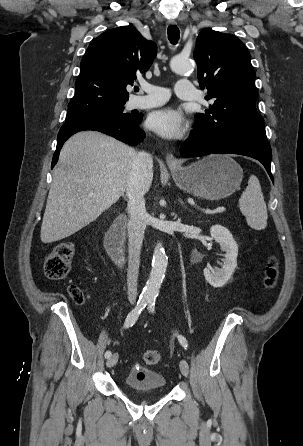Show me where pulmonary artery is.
<instances>
[{
    "label": "pulmonary artery",
    "mask_w": 303,
    "mask_h": 446,
    "mask_svg": "<svg viewBox=\"0 0 303 446\" xmlns=\"http://www.w3.org/2000/svg\"><path fill=\"white\" fill-rule=\"evenodd\" d=\"M142 89L146 92V95L134 97L130 102L132 108L143 109L156 107L165 103L169 98V91L163 87L148 84L143 85ZM175 92L180 99H196V90L193 84L187 79H181L176 83Z\"/></svg>",
    "instance_id": "obj_1"
}]
</instances>
